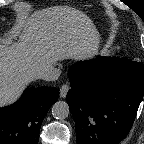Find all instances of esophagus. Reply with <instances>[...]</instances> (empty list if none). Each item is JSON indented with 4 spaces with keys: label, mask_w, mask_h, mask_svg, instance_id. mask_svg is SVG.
Wrapping results in <instances>:
<instances>
[{
    "label": "esophagus",
    "mask_w": 144,
    "mask_h": 144,
    "mask_svg": "<svg viewBox=\"0 0 144 144\" xmlns=\"http://www.w3.org/2000/svg\"><path fill=\"white\" fill-rule=\"evenodd\" d=\"M69 89H70V86L68 84L62 85V87L60 88V97L65 98Z\"/></svg>",
    "instance_id": "34e87169"
}]
</instances>
